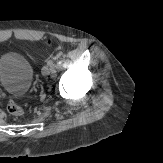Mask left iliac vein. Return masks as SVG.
I'll return each mask as SVG.
<instances>
[{"mask_svg": "<svg viewBox=\"0 0 163 163\" xmlns=\"http://www.w3.org/2000/svg\"><path fill=\"white\" fill-rule=\"evenodd\" d=\"M50 67L48 65L43 66L42 68V75L43 76H48L50 74Z\"/></svg>", "mask_w": 163, "mask_h": 163, "instance_id": "4c4485c4", "label": "left iliac vein"}]
</instances>
